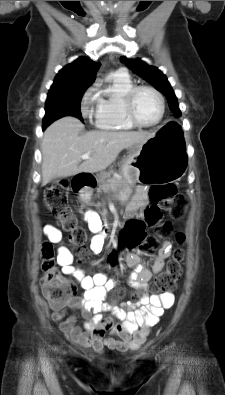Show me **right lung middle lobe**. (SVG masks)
<instances>
[{
    "label": "right lung middle lobe",
    "mask_w": 225,
    "mask_h": 395,
    "mask_svg": "<svg viewBox=\"0 0 225 395\" xmlns=\"http://www.w3.org/2000/svg\"><path fill=\"white\" fill-rule=\"evenodd\" d=\"M87 87L57 88L51 87L45 103L43 129L53 121L64 116H75L83 122L80 104Z\"/></svg>",
    "instance_id": "1"
}]
</instances>
